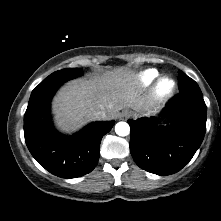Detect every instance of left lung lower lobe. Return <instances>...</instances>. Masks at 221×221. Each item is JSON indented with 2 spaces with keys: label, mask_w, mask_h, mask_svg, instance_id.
Returning a JSON list of instances; mask_svg holds the SVG:
<instances>
[{
  "label": "left lung lower lobe",
  "mask_w": 221,
  "mask_h": 221,
  "mask_svg": "<svg viewBox=\"0 0 221 221\" xmlns=\"http://www.w3.org/2000/svg\"><path fill=\"white\" fill-rule=\"evenodd\" d=\"M206 111L202 93L181 92L158 117L128 120L130 151L136 164L161 176L180 171L203 141Z\"/></svg>",
  "instance_id": "1"
}]
</instances>
